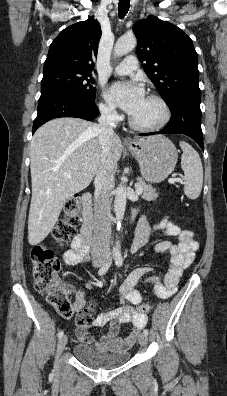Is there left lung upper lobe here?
I'll list each match as a JSON object with an SVG mask.
<instances>
[{
    "label": "left lung upper lobe",
    "mask_w": 227,
    "mask_h": 396,
    "mask_svg": "<svg viewBox=\"0 0 227 396\" xmlns=\"http://www.w3.org/2000/svg\"><path fill=\"white\" fill-rule=\"evenodd\" d=\"M133 31L143 69L167 105L182 93H200L198 57L188 35L155 16L136 22Z\"/></svg>",
    "instance_id": "obj_1"
}]
</instances>
